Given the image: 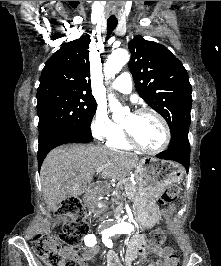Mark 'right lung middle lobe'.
I'll return each instance as SVG.
<instances>
[{"label": "right lung middle lobe", "instance_id": "1", "mask_svg": "<svg viewBox=\"0 0 221 266\" xmlns=\"http://www.w3.org/2000/svg\"><path fill=\"white\" fill-rule=\"evenodd\" d=\"M96 108V101L89 94L58 88L38 90L39 143L64 131L90 136Z\"/></svg>", "mask_w": 221, "mask_h": 266}]
</instances>
